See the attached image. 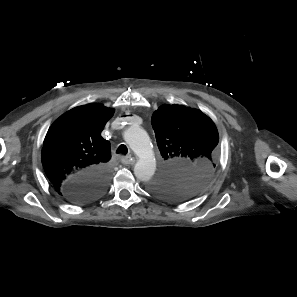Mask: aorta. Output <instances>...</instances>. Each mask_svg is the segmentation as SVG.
Wrapping results in <instances>:
<instances>
[{
  "label": "aorta",
  "instance_id": "1",
  "mask_svg": "<svg viewBox=\"0 0 297 297\" xmlns=\"http://www.w3.org/2000/svg\"><path fill=\"white\" fill-rule=\"evenodd\" d=\"M123 136L137 157L134 166L136 178L141 181H149L156 170V159L147 132L139 126H131Z\"/></svg>",
  "mask_w": 297,
  "mask_h": 297
}]
</instances>
